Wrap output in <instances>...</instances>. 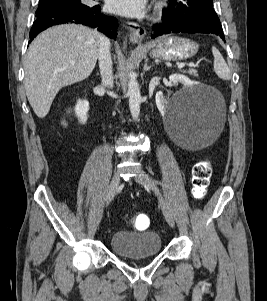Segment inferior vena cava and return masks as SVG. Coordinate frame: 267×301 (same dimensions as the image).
Here are the masks:
<instances>
[{"label":"inferior vena cava","instance_id":"602c4592","mask_svg":"<svg viewBox=\"0 0 267 301\" xmlns=\"http://www.w3.org/2000/svg\"><path fill=\"white\" fill-rule=\"evenodd\" d=\"M99 68L104 87H113L112 57L110 54V40L102 37L99 49Z\"/></svg>","mask_w":267,"mask_h":301}]
</instances>
